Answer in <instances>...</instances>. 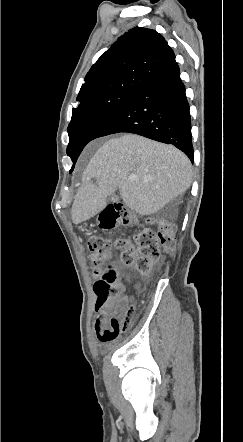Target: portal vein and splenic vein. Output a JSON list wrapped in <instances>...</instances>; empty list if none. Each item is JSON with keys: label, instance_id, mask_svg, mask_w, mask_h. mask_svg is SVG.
<instances>
[{"label": "portal vein and splenic vein", "instance_id": "portal-vein-and-splenic-vein-1", "mask_svg": "<svg viewBox=\"0 0 243 442\" xmlns=\"http://www.w3.org/2000/svg\"><path fill=\"white\" fill-rule=\"evenodd\" d=\"M129 179H131V180H135V179H137V176H136V175H132V176H130Z\"/></svg>", "mask_w": 243, "mask_h": 442}]
</instances>
